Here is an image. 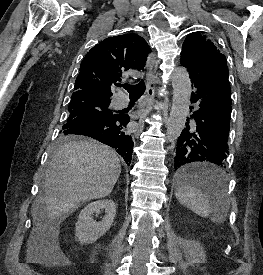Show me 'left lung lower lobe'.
<instances>
[{
  "label": "left lung lower lobe",
  "instance_id": "obj_1",
  "mask_svg": "<svg viewBox=\"0 0 263 275\" xmlns=\"http://www.w3.org/2000/svg\"><path fill=\"white\" fill-rule=\"evenodd\" d=\"M192 87V115L177 141L174 168L181 182L198 183L213 195L221 177L196 166V162H211L223 167L228 153L231 116V88L228 70L200 71L188 68ZM217 167V168H218Z\"/></svg>",
  "mask_w": 263,
  "mask_h": 275
}]
</instances>
